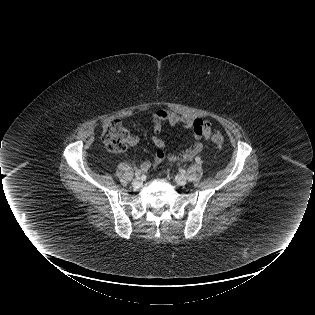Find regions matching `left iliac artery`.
<instances>
[{
  "mask_svg": "<svg viewBox=\"0 0 315 315\" xmlns=\"http://www.w3.org/2000/svg\"><path fill=\"white\" fill-rule=\"evenodd\" d=\"M195 161H196L197 163H199V162L201 161L200 157H196V158H195Z\"/></svg>",
  "mask_w": 315,
  "mask_h": 315,
  "instance_id": "44dca946",
  "label": "left iliac artery"
}]
</instances>
